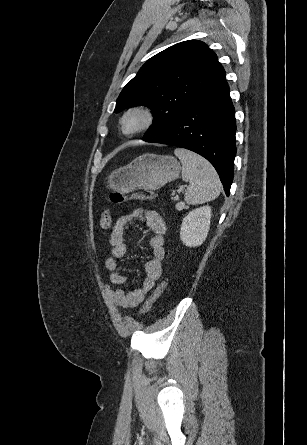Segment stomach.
Returning a JSON list of instances; mask_svg holds the SVG:
<instances>
[{"label":"stomach","mask_w":307,"mask_h":445,"mask_svg":"<svg viewBox=\"0 0 307 445\" xmlns=\"http://www.w3.org/2000/svg\"><path fill=\"white\" fill-rule=\"evenodd\" d=\"M181 168L174 156L144 152L129 164L112 170L107 176V186L118 192H132L137 188L157 190L166 182L178 178Z\"/></svg>","instance_id":"obj_1"}]
</instances>
